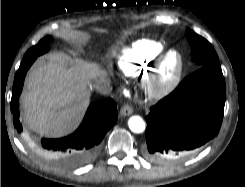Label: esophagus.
Segmentation results:
<instances>
[{
    "label": "esophagus",
    "instance_id": "esophagus-1",
    "mask_svg": "<svg viewBox=\"0 0 245 187\" xmlns=\"http://www.w3.org/2000/svg\"><path fill=\"white\" fill-rule=\"evenodd\" d=\"M133 113V108L127 104L123 105L120 109V114L122 116H129Z\"/></svg>",
    "mask_w": 245,
    "mask_h": 187
}]
</instances>
